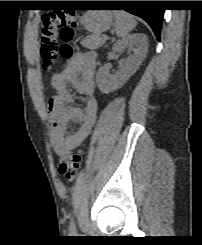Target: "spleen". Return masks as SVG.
<instances>
[{"label": "spleen", "instance_id": "3e777b00", "mask_svg": "<svg viewBox=\"0 0 202 245\" xmlns=\"http://www.w3.org/2000/svg\"><path fill=\"white\" fill-rule=\"evenodd\" d=\"M116 35L125 38L129 32L135 28L137 22L135 18L125 11H114Z\"/></svg>", "mask_w": 202, "mask_h": 245}]
</instances>
